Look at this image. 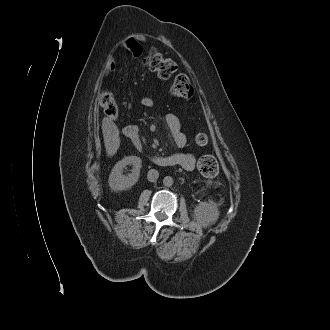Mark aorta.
Here are the masks:
<instances>
[{"label":"aorta","mask_w":330,"mask_h":330,"mask_svg":"<svg viewBox=\"0 0 330 330\" xmlns=\"http://www.w3.org/2000/svg\"><path fill=\"white\" fill-rule=\"evenodd\" d=\"M173 178L172 177H170V176H166V177H164V179H163V184L166 186V187H170V186H172L173 185Z\"/></svg>","instance_id":"1"}]
</instances>
